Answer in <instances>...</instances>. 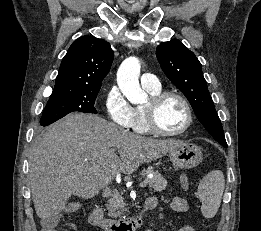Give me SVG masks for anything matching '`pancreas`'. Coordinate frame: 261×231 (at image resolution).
I'll return each instance as SVG.
<instances>
[{
    "mask_svg": "<svg viewBox=\"0 0 261 231\" xmlns=\"http://www.w3.org/2000/svg\"><path fill=\"white\" fill-rule=\"evenodd\" d=\"M141 174L153 175L152 178L147 179L150 188L158 192L166 189V179L157 170H155V168L149 166L148 168L143 169ZM124 206L125 203L123 202V198L118 191H114L107 204L109 216L112 218L120 217L121 214L125 213Z\"/></svg>",
    "mask_w": 261,
    "mask_h": 231,
    "instance_id": "obj_1",
    "label": "pancreas"
}]
</instances>
